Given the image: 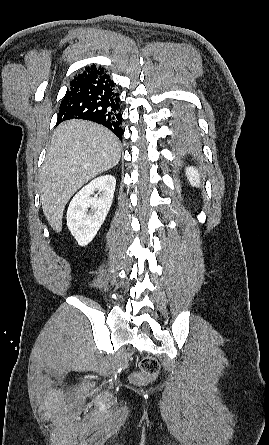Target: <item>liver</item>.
Wrapping results in <instances>:
<instances>
[{
  "mask_svg": "<svg viewBox=\"0 0 269 445\" xmlns=\"http://www.w3.org/2000/svg\"><path fill=\"white\" fill-rule=\"evenodd\" d=\"M121 157L118 138L85 120L61 123L54 131L39 176L43 213L56 232L74 193L97 175L115 167Z\"/></svg>",
  "mask_w": 269,
  "mask_h": 445,
  "instance_id": "1",
  "label": "liver"
}]
</instances>
